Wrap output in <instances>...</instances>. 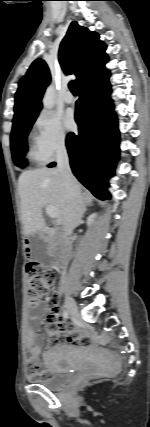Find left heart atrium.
<instances>
[{"label":"left heart atrium","instance_id":"39dd6f15","mask_svg":"<svg viewBox=\"0 0 150 427\" xmlns=\"http://www.w3.org/2000/svg\"><path fill=\"white\" fill-rule=\"evenodd\" d=\"M63 122L67 130H73L75 128V119L71 112L65 114Z\"/></svg>","mask_w":150,"mask_h":427}]
</instances>
